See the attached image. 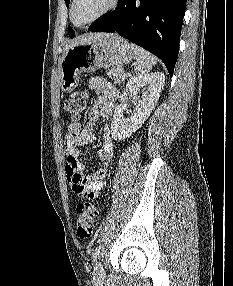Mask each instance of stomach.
<instances>
[{
  "instance_id": "obj_1",
  "label": "stomach",
  "mask_w": 233,
  "mask_h": 286,
  "mask_svg": "<svg viewBox=\"0 0 233 286\" xmlns=\"http://www.w3.org/2000/svg\"><path fill=\"white\" fill-rule=\"evenodd\" d=\"M133 57L134 53L129 42L114 34H103L70 47L64 52L60 62L62 90L64 92L74 90L83 72L122 67L132 61Z\"/></svg>"
}]
</instances>
